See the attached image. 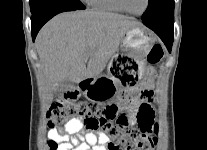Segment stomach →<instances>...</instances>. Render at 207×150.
I'll return each mask as SVG.
<instances>
[{"mask_svg": "<svg viewBox=\"0 0 207 150\" xmlns=\"http://www.w3.org/2000/svg\"><path fill=\"white\" fill-rule=\"evenodd\" d=\"M153 43V36L142 26L129 29L122 39L121 53H115L108 64V75L93 79L84 94L102 101L115 98L122 86L144 83L148 75L145 57Z\"/></svg>", "mask_w": 207, "mask_h": 150, "instance_id": "stomach-1", "label": "stomach"}]
</instances>
